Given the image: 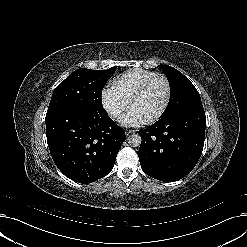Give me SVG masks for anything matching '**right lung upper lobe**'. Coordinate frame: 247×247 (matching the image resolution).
<instances>
[{"mask_svg": "<svg viewBox=\"0 0 247 247\" xmlns=\"http://www.w3.org/2000/svg\"><path fill=\"white\" fill-rule=\"evenodd\" d=\"M111 70H115V67H112V68H110V69H108L106 71H111Z\"/></svg>", "mask_w": 247, "mask_h": 247, "instance_id": "cb5924a9", "label": "right lung upper lobe"}]
</instances>
